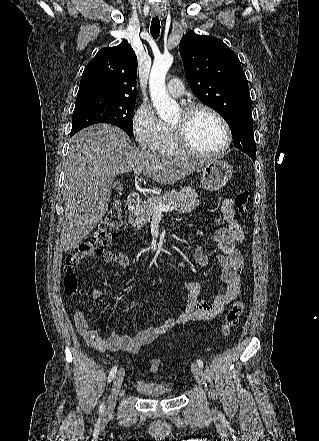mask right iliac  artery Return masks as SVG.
<instances>
[{"instance_id":"right-iliac-artery-1","label":"right iliac artery","mask_w":319,"mask_h":441,"mask_svg":"<svg viewBox=\"0 0 319 441\" xmlns=\"http://www.w3.org/2000/svg\"><path fill=\"white\" fill-rule=\"evenodd\" d=\"M116 372H117V366H114L109 373L108 382H111V380L114 378ZM103 413H104V403H102L99 408V414L102 415Z\"/></svg>"}]
</instances>
